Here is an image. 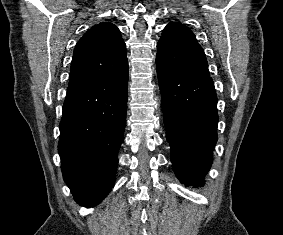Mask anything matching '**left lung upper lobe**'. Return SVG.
<instances>
[{"label":"left lung upper lobe","instance_id":"left-lung-upper-lobe-1","mask_svg":"<svg viewBox=\"0 0 283 235\" xmlns=\"http://www.w3.org/2000/svg\"><path fill=\"white\" fill-rule=\"evenodd\" d=\"M157 48V64L209 76L204 51L187 26L178 22L169 23L163 30Z\"/></svg>","mask_w":283,"mask_h":235}]
</instances>
